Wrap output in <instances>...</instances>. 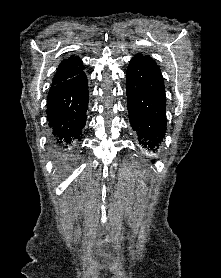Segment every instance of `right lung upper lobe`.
Returning <instances> with one entry per match:
<instances>
[{"mask_svg": "<svg viewBox=\"0 0 221 278\" xmlns=\"http://www.w3.org/2000/svg\"><path fill=\"white\" fill-rule=\"evenodd\" d=\"M84 65L77 56L64 59L56 71L52 85L59 84L83 72Z\"/></svg>", "mask_w": 221, "mask_h": 278, "instance_id": "obj_1", "label": "right lung upper lobe"}]
</instances>
